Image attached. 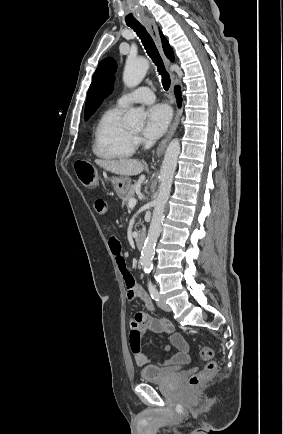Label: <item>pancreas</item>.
I'll return each mask as SVG.
<instances>
[{
    "label": "pancreas",
    "instance_id": "obj_1",
    "mask_svg": "<svg viewBox=\"0 0 283 434\" xmlns=\"http://www.w3.org/2000/svg\"><path fill=\"white\" fill-rule=\"evenodd\" d=\"M135 188H136V185H132L130 187V190L127 193V195L122 198V204H123V206L125 204H128L130 199L134 198V196H135Z\"/></svg>",
    "mask_w": 283,
    "mask_h": 434
}]
</instances>
